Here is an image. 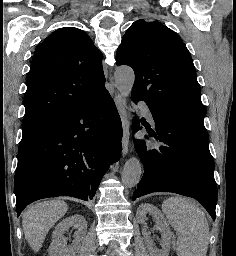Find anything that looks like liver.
I'll list each match as a JSON object with an SVG mask.
<instances>
[{"label": "liver", "mask_w": 236, "mask_h": 256, "mask_svg": "<svg viewBox=\"0 0 236 256\" xmlns=\"http://www.w3.org/2000/svg\"><path fill=\"white\" fill-rule=\"evenodd\" d=\"M69 210L63 200H48L33 204L25 210L22 216V226L25 240H27L33 252H39L42 244L55 222H58Z\"/></svg>", "instance_id": "1"}]
</instances>
